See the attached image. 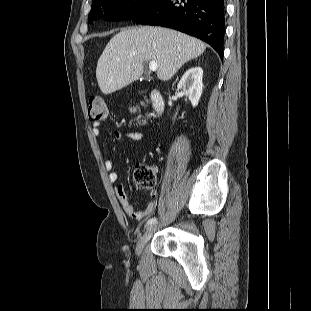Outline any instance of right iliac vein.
<instances>
[{
	"instance_id": "obj_1",
	"label": "right iliac vein",
	"mask_w": 311,
	"mask_h": 311,
	"mask_svg": "<svg viewBox=\"0 0 311 311\" xmlns=\"http://www.w3.org/2000/svg\"><path fill=\"white\" fill-rule=\"evenodd\" d=\"M156 225H150L147 227L144 234L139 239L137 246H136V253L139 255L144 247V245L149 241L151 236L153 235L155 231Z\"/></svg>"
}]
</instances>
